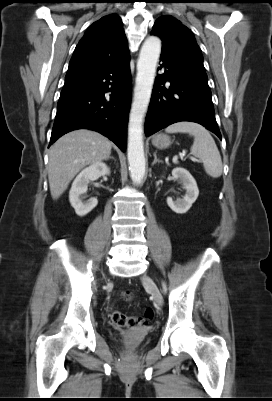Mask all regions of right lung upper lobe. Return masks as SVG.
<instances>
[{"label": "right lung upper lobe", "instance_id": "cb5924a9", "mask_svg": "<svg viewBox=\"0 0 272 401\" xmlns=\"http://www.w3.org/2000/svg\"><path fill=\"white\" fill-rule=\"evenodd\" d=\"M121 18L110 14L94 22L76 46L65 84L95 74L128 53Z\"/></svg>", "mask_w": 272, "mask_h": 401}]
</instances>
